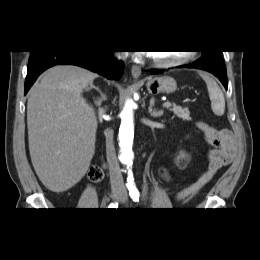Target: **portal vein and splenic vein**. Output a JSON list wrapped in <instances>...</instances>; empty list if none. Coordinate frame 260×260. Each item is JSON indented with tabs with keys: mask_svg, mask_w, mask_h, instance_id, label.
Instances as JSON below:
<instances>
[{
	"mask_svg": "<svg viewBox=\"0 0 260 260\" xmlns=\"http://www.w3.org/2000/svg\"><path fill=\"white\" fill-rule=\"evenodd\" d=\"M163 106H164V107H170V106H171V103H170V102H165V103H163Z\"/></svg>",
	"mask_w": 260,
	"mask_h": 260,
	"instance_id": "18ae733b",
	"label": "portal vein and splenic vein"
}]
</instances>
